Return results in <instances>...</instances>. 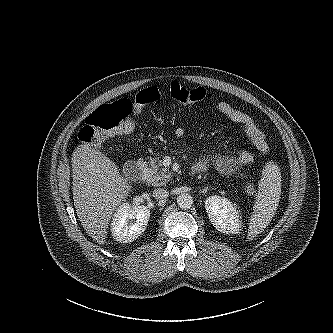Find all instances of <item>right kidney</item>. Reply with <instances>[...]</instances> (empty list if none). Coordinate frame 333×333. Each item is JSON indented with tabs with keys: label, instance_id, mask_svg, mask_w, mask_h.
<instances>
[{
	"label": "right kidney",
	"instance_id": "obj_1",
	"mask_svg": "<svg viewBox=\"0 0 333 333\" xmlns=\"http://www.w3.org/2000/svg\"><path fill=\"white\" fill-rule=\"evenodd\" d=\"M150 210L141 205L121 204L111 222L112 236L116 241L129 243L136 240L146 229ZM136 219L135 223L130 220Z\"/></svg>",
	"mask_w": 333,
	"mask_h": 333
}]
</instances>
